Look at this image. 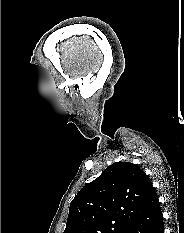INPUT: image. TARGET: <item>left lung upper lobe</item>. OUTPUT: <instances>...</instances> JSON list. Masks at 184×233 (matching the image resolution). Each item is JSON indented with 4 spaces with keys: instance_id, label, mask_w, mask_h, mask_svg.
I'll return each mask as SVG.
<instances>
[{
    "instance_id": "obj_1",
    "label": "left lung upper lobe",
    "mask_w": 184,
    "mask_h": 233,
    "mask_svg": "<svg viewBox=\"0 0 184 233\" xmlns=\"http://www.w3.org/2000/svg\"><path fill=\"white\" fill-rule=\"evenodd\" d=\"M153 191L137 165L113 163L71 201L64 233H129Z\"/></svg>"
}]
</instances>
